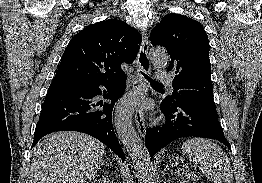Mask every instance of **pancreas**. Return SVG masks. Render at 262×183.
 Listing matches in <instances>:
<instances>
[{
	"instance_id": "1",
	"label": "pancreas",
	"mask_w": 262,
	"mask_h": 183,
	"mask_svg": "<svg viewBox=\"0 0 262 183\" xmlns=\"http://www.w3.org/2000/svg\"><path fill=\"white\" fill-rule=\"evenodd\" d=\"M191 175H193V176H192V177H188V176H189V174H188L187 177H188L189 179L191 178L192 180H196V179H197V177H196L194 174H191Z\"/></svg>"
}]
</instances>
